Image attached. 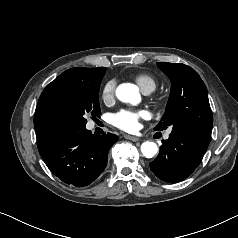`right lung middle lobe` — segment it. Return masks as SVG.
<instances>
[{
    "label": "right lung middle lobe",
    "instance_id": "dd1d6c3e",
    "mask_svg": "<svg viewBox=\"0 0 238 238\" xmlns=\"http://www.w3.org/2000/svg\"><path fill=\"white\" fill-rule=\"evenodd\" d=\"M105 71V67L93 68L91 80H68L61 84L58 90L60 127L85 126L87 115L95 118L101 114L98 94Z\"/></svg>",
    "mask_w": 238,
    "mask_h": 238
}]
</instances>
